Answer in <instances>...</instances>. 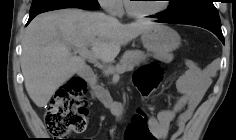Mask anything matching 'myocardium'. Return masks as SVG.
<instances>
[{
	"instance_id": "1",
	"label": "myocardium",
	"mask_w": 236,
	"mask_h": 140,
	"mask_svg": "<svg viewBox=\"0 0 236 140\" xmlns=\"http://www.w3.org/2000/svg\"><path fill=\"white\" fill-rule=\"evenodd\" d=\"M168 6H169L168 2L164 1V3L162 4L161 7L157 8L153 11L139 12V11H136L132 8L130 0H127L126 4H125V8H126L127 13L131 17H134V18H137V19H146V18L153 17L155 15H158L159 13L165 11L168 8Z\"/></svg>"
}]
</instances>
